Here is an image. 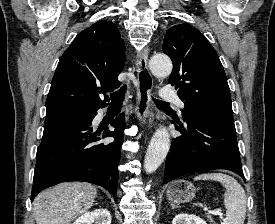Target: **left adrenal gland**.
<instances>
[{
    "label": "left adrenal gland",
    "mask_w": 275,
    "mask_h": 224,
    "mask_svg": "<svg viewBox=\"0 0 275 224\" xmlns=\"http://www.w3.org/2000/svg\"><path fill=\"white\" fill-rule=\"evenodd\" d=\"M175 208V205H172V209H174Z\"/></svg>",
    "instance_id": "a2214340"
}]
</instances>
